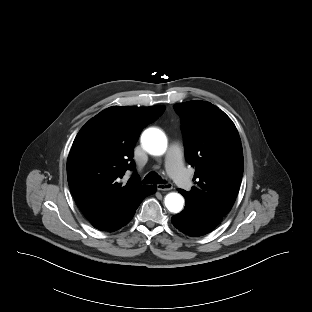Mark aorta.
<instances>
[{"label":"aorta","mask_w":312,"mask_h":312,"mask_svg":"<svg viewBox=\"0 0 312 312\" xmlns=\"http://www.w3.org/2000/svg\"><path fill=\"white\" fill-rule=\"evenodd\" d=\"M142 145L151 155H162L167 148V138L165 134L156 128L147 129L142 135ZM184 204L183 197L178 193H169L165 197L166 208L173 213L182 210Z\"/></svg>","instance_id":"obj_1"}]
</instances>
